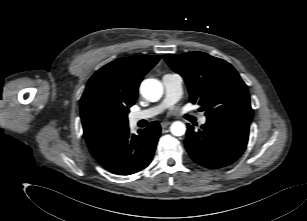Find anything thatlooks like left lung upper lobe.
<instances>
[{
	"mask_svg": "<svg viewBox=\"0 0 307 221\" xmlns=\"http://www.w3.org/2000/svg\"><path fill=\"white\" fill-rule=\"evenodd\" d=\"M164 59L184 78L190 101L206 111L207 119L251 122L253 110L248 88L228 62L199 51L166 54Z\"/></svg>",
	"mask_w": 307,
	"mask_h": 221,
	"instance_id": "obj_1",
	"label": "left lung upper lobe"
}]
</instances>
